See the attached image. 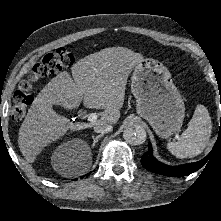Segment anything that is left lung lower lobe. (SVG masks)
<instances>
[{"label":"left lung lower lobe","instance_id":"left-lung-lower-lobe-1","mask_svg":"<svg viewBox=\"0 0 221 221\" xmlns=\"http://www.w3.org/2000/svg\"><path fill=\"white\" fill-rule=\"evenodd\" d=\"M211 153L204 159L200 160L199 162L184 164L180 166H169L159 162L152 155V147L151 144L149 143L148 151L142 156L141 163L145 169L152 171L154 173H158L165 176L181 177L189 175L200 169L207 162Z\"/></svg>","mask_w":221,"mask_h":221}]
</instances>
